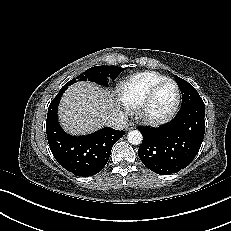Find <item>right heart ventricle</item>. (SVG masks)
<instances>
[{"mask_svg":"<svg viewBox=\"0 0 231 231\" xmlns=\"http://www.w3.org/2000/svg\"><path fill=\"white\" fill-rule=\"evenodd\" d=\"M163 79V76L149 71L132 76L120 86L123 102L130 107H136L145 94Z\"/></svg>","mask_w":231,"mask_h":231,"instance_id":"obj_1","label":"right heart ventricle"}]
</instances>
